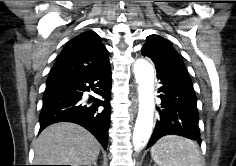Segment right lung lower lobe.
Instances as JSON below:
<instances>
[{"label": "right lung lower lobe", "mask_w": 236, "mask_h": 166, "mask_svg": "<svg viewBox=\"0 0 236 166\" xmlns=\"http://www.w3.org/2000/svg\"><path fill=\"white\" fill-rule=\"evenodd\" d=\"M110 65L90 74H66L47 79L40 114L41 132L48 125L66 121L79 124L89 130L106 149L110 124L111 99ZM93 90L103 100L93 98L92 106L83 101V92ZM103 106L104 110L98 107Z\"/></svg>", "instance_id": "98d812e1"}]
</instances>
